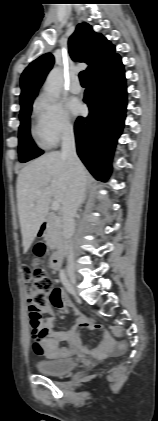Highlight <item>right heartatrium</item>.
Masks as SVG:
<instances>
[{
	"label": "right heart atrium",
	"instance_id": "1",
	"mask_svg": "<svg viewBox=\"0 0 158 421\" xmlns=\"http://www.w3.org/2000/svg\"><path fill=\"white\" fill-rule=\"evenodd\" d=\"M36 110L43 133L52 144L73 132L72 120L61 103L41 95L36 101Z\"/></svg>",
	"mask_w": 158,
	"mask_h": 421
}]
</instances>
